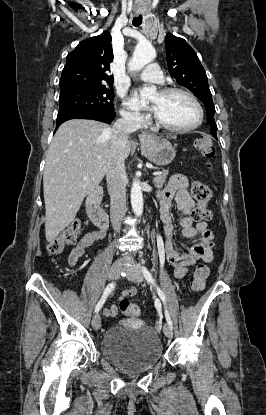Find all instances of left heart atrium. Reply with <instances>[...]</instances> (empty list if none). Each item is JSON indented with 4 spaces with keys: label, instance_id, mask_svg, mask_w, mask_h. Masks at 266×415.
<instances>
[{
    "label": "left heart atrium",
    "instance_id": "1",
    "mask_svg": "<svg viewBox=\"0 0 266 415\" xmlns=\"http://www.w3.org/2000/svg\"><path fill=\"white\" fill-rule=\"evenodd\" d=\"M128 105L132 108H139L140 102L137 95H134L128 102ZM154 110V108L152 109Z\"/></svg>",
    "mask_w": 266,
    "mask_h": 415
}]
</instances>
